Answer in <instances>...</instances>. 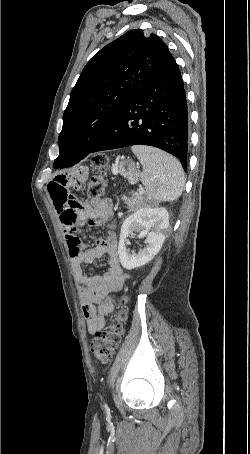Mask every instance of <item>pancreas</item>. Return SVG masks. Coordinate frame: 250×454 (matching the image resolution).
<instances>
[{
	"mask_svg": "<svg viewBox=\"0 0 250 454\" xmlns=\"http://www.w3.org/2000/svg\"><path fill=\"white\" fill-rule=\"evenodd\" d=\"M143 200V197L142 195H136L135 199H128L127 200V204L129 206V208H134L135 206H137L139 203H141Z\"/></svg>",
	"mask_w": 250,
	"mask_h": 454,
	"instance_id": "pancreas-1",
	"label": "pancreas"
}]
</instances>
